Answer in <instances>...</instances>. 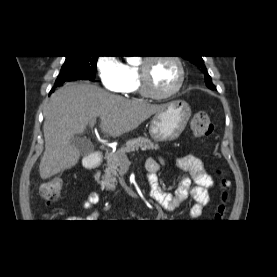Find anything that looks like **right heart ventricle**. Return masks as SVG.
Returning <instances> with one entry per match:
<instances>
[{"label":"right heart ventricle","mask_w":277,"mask_h":277,"mask_svg":"<svg viewBox=\"0 0 277 277\" xmlns=\"http://www.w3.org/2000/svg\"><path fill=\"white\" fill-rule=\"evenodd\" d=\"M127 72L129 76V82L126 88L127 93H137L139 92V72L138 66L136 65H126Z\"/></svg>","instance_id":"right-heart-ventricle-1"}]
</instances>
